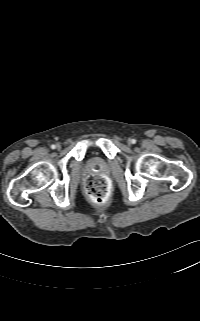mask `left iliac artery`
Instances as JSON below:
<instances>
[{"instance_id":"1","label":"left iliac artery","mask_w":200,"mask_h":321,"mask_svg":"<svg viewBox=\"0 0 200 321\" xmlns=\"http://www.w3.org/2000/svg\"><path fill=\"white\" fill-rule=\"evenodd\" d=\"M136 143V140L135 139H132V144H135Z\"/></svg>"}]
</instances>
